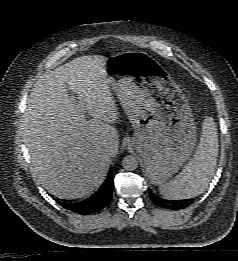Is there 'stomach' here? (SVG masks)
<instances>
[{
    "instance_id": "stomach-1",
    "label": "stomach",
    "mask_w": 238,
    "mask_h": 261,
    "mask_svg": "<svg viewBox=\"0 0 238 261\" xmlns=\"http://www.w3.org/2000/svg\"><path fill=\"white\" fill-rule=\"evenodd\" d=\"M107 79L134 128L130 142L147 176L160 185L190 158L196 145L192 110L166 70L143 54L107 59Z\"/></svg>"
}]
</instances>
